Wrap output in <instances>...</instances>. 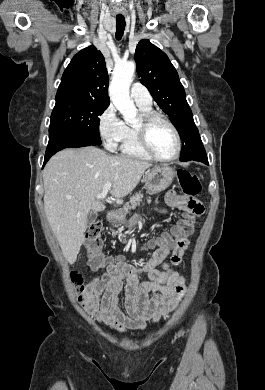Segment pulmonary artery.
I'll return each mask as SVG.
<instances>
[{
	"mask_svg": "<svg viewBox=\"0 0 265 390\" xmlns=\"http://www.w3.org/2000/svg\"><path fill=\"white\" fill-rule=\"evenodd\" d=\"M130 95L137 106L150 107L152 98L146 87L136 82L131 86Z\"/></svg>",
	"mask_w": 265,
	"mask_h": 390,
	"instance_id": "1",
	"label": "pulmonary artery"
}]
</instances>
